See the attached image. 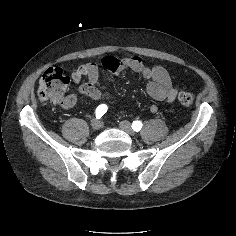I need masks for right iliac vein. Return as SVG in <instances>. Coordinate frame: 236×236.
<instances>
[{
  "mask_svg": "<svg viewBox=\"0 0 236 236\" xmlns=\"http://www.w3.org/2000/svg\"><path fill=\"white\" fill-rule=\"evenodd\" d=\"M91 127L94 129V130H99L101 128V122L100 120L98 119H93L91 121Z\"/></svg>",
  "mask_w": 236,
  "mask_h": 236,
  "instance_id": "1",
  "label": "right iliac vein"
}]
</instances>
